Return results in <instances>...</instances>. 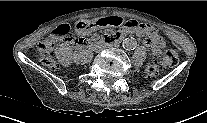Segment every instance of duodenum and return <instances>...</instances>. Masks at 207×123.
Instances as JSON below:
<instances>
[{"instance_id":"1","label":"duodenum","mask_w":207,"mask_h":123,"mask_svg":"<svg viewBox=\"0 0 207 123\" xmlns=\"http://www.w3.org/2000/svg\"><path fill=\"white\" fill-rule=\"evenodd\" d=\"M127 33L124 34H117V35H108V36H104L102 39H97V38H93V39H89L84 43L85 48L91 49L93 47H95L98 44L104 43V44H117L119 43L124 36Z\"/></svg>"}]
</instances>
